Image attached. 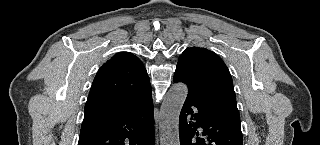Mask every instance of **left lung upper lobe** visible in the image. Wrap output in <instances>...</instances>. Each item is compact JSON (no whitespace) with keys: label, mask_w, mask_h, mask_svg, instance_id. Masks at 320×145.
Listing matches in <instances>:
<instances>
[{"label":"left lung upper lobe","mask_w":320,"mask_h":145,"mask_svg":"<svg viewBox=\"0 0 320 145\" xmlns=\"http://www.w3.org/2000/svg\"><path fill=\"white\" fill-rule=\"evenodd\" d=\"M177 65L209 82L213 90L211 98L215 109L223 116L240 123L230 72L216 53L202 47H190L180 55Z\"/></svg>","instance_id":"left-lung-upper-lobe-1"}]
</instances>
